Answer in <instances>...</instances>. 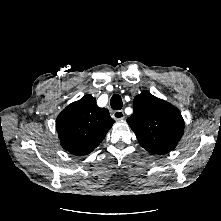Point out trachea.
I'll list each match as a JSON object with an SVG mask.
<instances>
[{"label":"trachea","mask_w":221,"mask_h":221,"mask_svg":"<svg viewBox=\"0 0 221 221\" xmlns=\"http://www.w3.org/2000/svg\"><path fill=\"white\" fill-rule=\"evenodd\" d=\"M110 105L113 110H120L123 106L121 96L118 94H114L110 99Z\"/></svg>","instance_id":"trachea-1"}]
</instances>
